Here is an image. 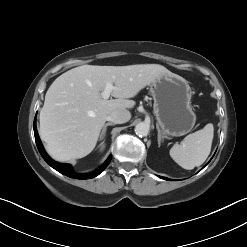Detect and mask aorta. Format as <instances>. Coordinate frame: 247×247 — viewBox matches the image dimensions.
Here are the masks:
<instances>
[{"label":"aorta","instance_id":"obj_1","mask_svg":"<svg viewBox=\"0 0 247 247\" xmlns=\"http://www.w3.org/2000/svg\"><path fill=\"white\" fill-rule=\"evenodd\" d=\"M150 125L146 122H140L135 126V133L138 136L144 137L149 133Z\"/></svg>","mask_w":247,"mask_h":247}]
</instances>
